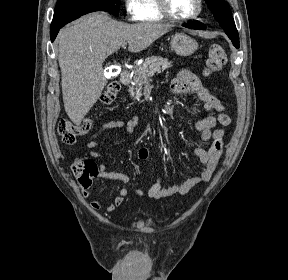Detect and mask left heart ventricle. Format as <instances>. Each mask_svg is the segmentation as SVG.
I'll list each match as a JSON object with an SVG mask.
<instances>
[{
    "instance_id": "obj_1",
    "label": "left heart ventricle",
    "mask_w": 288,
    "mask_h": 280,
    "mask_svg": "<svg viewBox=\"0 0 288 280\" xmlns=\"http://www.w3.org/2000/svg\"><path fill=\"white\" fill-rule=\"evenodd\" d=\"M171 12L177 17L191 15L197 7V0H168Z\"/></svg>"
}]
</instances>
